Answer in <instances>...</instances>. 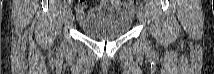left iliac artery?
I'll use <instances>...</instances> for the list:
<instances>
[{
  "label": "left iliac artery",
  "mask_w": 214,
  "mask_h": 74,
  "mask_svg": "<svg viewBox=\"0 0 214 74\" xmlns=\"http://www.w3.org/2000/svg\"><path fill=\"white\" fill-rule=\"evenodd\" d=\"M139 9H140V10H144V6L141 4V5L139 6Z\"/></svg>",
  "instance_id": "obj_1"
}]
</instances>
